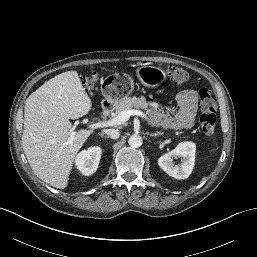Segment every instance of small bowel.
<instances>
[{
  "label": "small bowel",
  "mask_w": 257,
  "mask_h": 257,
  "mask_svg": "<svg viewBox=\"0 0 257 257\" xmlns=\"http://www.w3.org/2000/svg\"><path fill=\"white\" fill-rule=\"evenodd\" d=\"M178 111L175 116L158 113L157 119L161 126L165 128H190L194 125L197 110L198 97L194 90H183L176 97Z\"/></svg>",
  "instance_id": "1"
}]
</instances>
